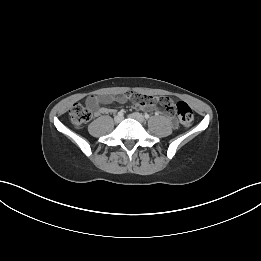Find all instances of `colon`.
Here are the masks:
<instances>
[{
	"label": "colon",
	"mask_w": 261,
	"mask_h": 261,
	"mask_svg": "<svg viewBox=\"0 0 261 261\" xmlns=\"http://www.w3.org/2000/svg\"><path fill=\"white\" fill-rule=\"evenodd\" d=\"M161 101L170 114L177 115L180 123L184 127H189L192 125L194 120V113L192 108L186 102H175L171 97L168 96L162 97ZM91 117V110L79 103L75 104L70 110V120L77 128L82 127L91 119Z\"/></svg>",
	"instance_id": "1"
}]
</instances>
